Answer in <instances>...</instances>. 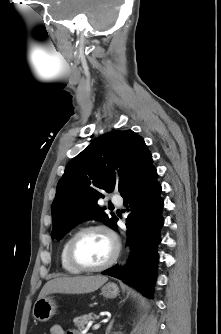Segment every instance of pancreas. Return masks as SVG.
I'll return each instance as SVG.
<instances>
[{"mask_svg": "<svg viewBox=\"0 0 221 334\" xmlns=\"http://www.w3.org/2000/svg\"><path fill=\"white\" fill-rule=\"evenodd\" d=\"M93 319H94L93 314L89 313L87 315H82L80 317L74 318L73 322L79 330H83L85 329V326Z\"/></svg>", "mask_w": 221, "mask_h": 334, "instance_id": "1", "label": "pancreas"}]
</instances>
